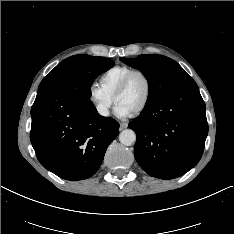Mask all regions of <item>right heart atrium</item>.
<instances>
[{"instance_id":"d8ad5b80","label":"right heart atrium","mask_w":234,"mask_h":234,"mask_svg":"<svg viewBox=\"0 0 234 234\" xmlns=\"http://www.w3.org/2000/svg\"><path fill=\"white\" fill-rule=\"evenodd\" d=\"M87 98L97 114L101 117L106 118L110 115L112 98L109 97L99 85L91 84L88 87Z\"/></svg>"}]
</instances>
